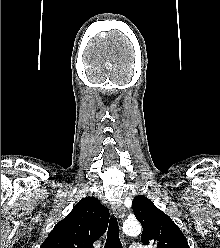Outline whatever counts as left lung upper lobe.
I'll return each mask as SVG.
<instances>
[{"mask_svg":"<svg viewBox=\"0 0 220 248\" xmlns=\"http://www.w3.org/2000/svg\"><path fill=\"white\" fill-rule=\"evenodd\" d=\"M132 209L143 227L141 241L154 248H190L179 227L145 196L135 197Z\"/></svg>","mask_w":220,"mask_h":248,"instance_id":"5c2ea615","label":"left lung upper lobe"}]
</instances>
